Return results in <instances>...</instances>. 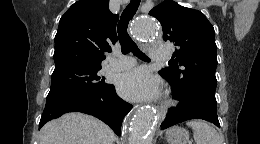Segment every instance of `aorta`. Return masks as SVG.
<instances>
[{
  "instance_id": "1",
  "label": "aorta",
  "mask_w": 260,
  "mask_h": 144,
  "mask_svg": "<svg viewBox=\"0 0 260 144\" xmlns=\"http://www.w3.org/2000/svg\"><path fill=\"white\" fill-rule=\"evenodd\" d=\"M135 37L146 41L157 36V24L152 18H140L133 24ZM155 112L144 107L133 113L126 122L128 144H152Z\"/></svg>"
}]
</instances>
